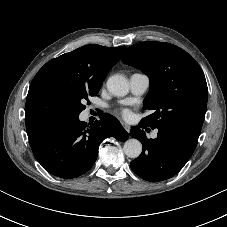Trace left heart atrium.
Returning a JSON list of instances; mask_svg holds the SVG:
<instances>
[{
  "mask_svg": "<svg viewBox=\"0 0 227 227\" xmlns=\"http://www.w3.org/2000/svg\"><path fill=\"white\" fill-rule=\"evenodd\" d=\"M121 114H122V116H124V117H129L130 116V110L129 109H127V108H123L122 110H121Z\"/></svg>",
  "mask_w": 227,
  "mask_h": 227,
  "instance_id": "left-heart-atrium-1",
  "label": "left heart atrium"
}]
</instances>
